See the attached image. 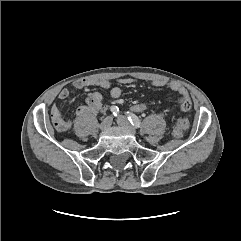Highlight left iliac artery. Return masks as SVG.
<instances>
[{"mask_svg": "<svg viewBox=\"0 0 241 241\" xmlns=\"http://www.w3.org/2000/svg\"><path fill=\"white\" fill-rule=\"evenodd\" d=\"M127 115H128V120L130 121V123L135 127V128H139L140 125H141V122L139 120V118L133 114V113H130V112H127Z\"/></svg>", "mask_w": 241, "mask_h": 241, "instance_id": "44dca946", "label": "left iliac artery"}]
</instances>
